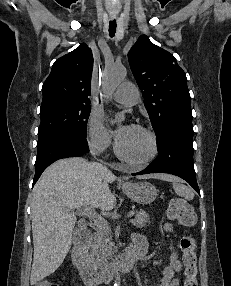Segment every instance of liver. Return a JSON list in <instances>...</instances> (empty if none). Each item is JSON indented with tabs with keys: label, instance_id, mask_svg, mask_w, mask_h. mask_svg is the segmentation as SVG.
Masks as SVG:
<instances>
[{
	"label": "liver",
	"instance_id": "liver-1",
	"mask_svg": "<svg viewBox=\"0 0 231 286\" xmlns=\"http://www.w3.org/2000/svg\"><path fill=\"white\" fill-rule=\"evenodd\" d=\"M139 179H176L167 174H151ZM116 176L97 162L81 157L61 159L51 164L35 184L32 193V233L34 244L31 285L52 274L63 262L72 244L75 209L86 206L110 211L116 205L109 184Z\"/></svg>",
	"mask_w": 231,
	"mask_h": 286
}]
</instances>
